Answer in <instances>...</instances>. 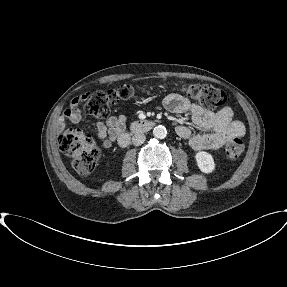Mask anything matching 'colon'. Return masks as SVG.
I'll use <instances>...</instances> for the list:
<instances>
[{
  "mask_svg": "<svg viewBox=\"0 0 287 287\" xmlns=\"http://www.w3.org/2000/svg\"><path fill=\"white\" fill-rule=\"evenodd\" d=\"M182 93L207 109L221 107L227 102L224 91L205 84H186ZM135 93L132 85H122L117 89L97 91L86 100L84 107L88 114L96 118L106 117L112 106L130 100ZM59 148L72 162L79 174L91 173L99 159V149L92 138L80 130H68L59 136ZM225 154L231 161H236L243 153L244 144L239 137L230 139L225 146Z\"/></svg>",
  "mask_w": 287,
  "mask_h": 287,
  "instance_id": "1",
  "label": "colon"
}]
</instances>
